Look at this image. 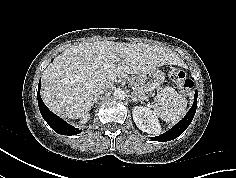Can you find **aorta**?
Returning a JSON list of instances; mask_svg holds the SVG:
<instances>
[{
  "label": "aorta",
  "mask_w": 236,
  "mask_h": 178,
  "mask_svg": "<svg viewBox=\"0 0 236 178\" xmlns=\"http://www.w3.org/2000/svg\"><path fill=\"white\" fill-rule=\"evenodd\" d=\"M113 95H114V98L122 100L125 97V92L122 89L117 88L114 90Z\"/></svg>",
  "instance_id": "762f6f07"
}]
</instances>
